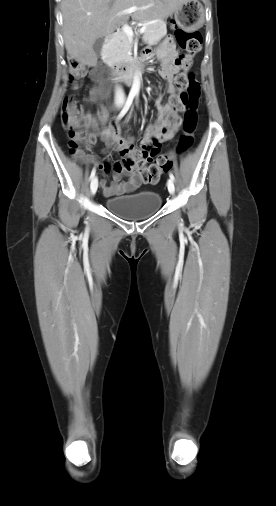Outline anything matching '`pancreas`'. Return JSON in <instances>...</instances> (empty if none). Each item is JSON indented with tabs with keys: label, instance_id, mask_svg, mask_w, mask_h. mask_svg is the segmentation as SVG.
Instances as JSON below:
<instances>
[{
	"label": "pancreas",
	"instance_id": "pancreas-1",
	"mask_svg": "<svg viewBox=\"0 0 276 506\" xmlns=\"http://www.w3.org/2000/svg\"><path fill=\"white\" fill-rule=\"evenodd\" d=\"M145 26L146 30L143 34V41L145 43H153L166 34V26L161 21ZM130 51L131 42L128 35L124 31L117 32L106 46L104 52L105 61L112 63L122 62L130 57Z\"/></svg>",
	"mask_w": 276,
	"mask_h": 506
}]
</instances>
